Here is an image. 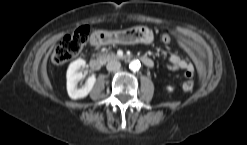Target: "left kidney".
<instances>
[{"mask_svg":"<svg viewBox=\"0 0 247 145\" xmlns=\"http://www.w3.org/2000/svg\"><path fill=\"white\" fill-rule=\"evenodd\" d=\"M166 89H167V91H169V92H173V91H174V88L171 87V86H167Z\"/></svg>","mask_w":247,"mask_h":145,"instance_id":"obj_1","label":"left kidney"}]
</instances>
